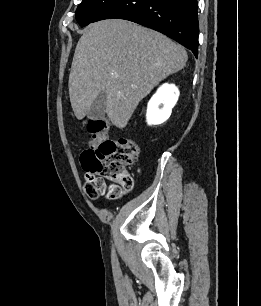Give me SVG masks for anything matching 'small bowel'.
Returning a JSON list of instances; mask_svg holds the SVG:
<instances>
[{
	"label": "small bowel",
	"mask_w": 261,
	"mask_h": 306,
	"mask_svg": "<svg viewBox=\"0 0 261 306\" xmlns=\"http://www.w3.org/2000/svg\"><path fill=\"white\" fill-rule=\"evenodd\" d=\"M124 193H125V190H124V189H120L119 191H117L116 193H114L113 196H112V193H111L110 191L107 192V194H108L110 197H113V198L120 197V196H122Z\"/></svg>",
	"instance_id": "obj_1"
}]
</instances>
